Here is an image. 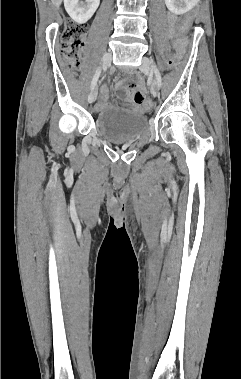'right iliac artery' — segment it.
<instances>
[{
    "mask_svg": "<svg viewBox=\"0 0 241 379\" xmlns=\"http://www.w3.org/2000/svg\"><path fill=\"white\" fill-rule=\"evenodd\" d=\"M101 71H102L101 67L97 68V70H96V72L94 74V77L92 79V82H91V90H93L95 88V86L97 84V81H98V78H99V76L101 74Z\"/></svg>",
    "mask_w": 241,
    "mask_h": 379,
    "instance_id": "right-iliac-artery-1",
    "label": "right iliac artery"
}]
</instances>
